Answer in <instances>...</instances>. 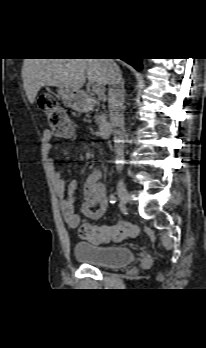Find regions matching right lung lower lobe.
I'll return each instance as SVG.
<instances>
[{
  "label": "right lung lower lobe",
  "instance_id": "obj_1",
  "mask_svg": "<svg viewBox=\"0 0 206 348\" xmlns=\"http://www.w3.org/2000/svg\"><path fill=\"white\" fill-rule=\"evenodd\" d=\"M132 65L137 70H142V59L139 58H130V59H122Z\"/></svg>",
  "mask_w": 206,
  "mask_h": 348
}]
</instances>
